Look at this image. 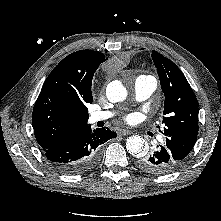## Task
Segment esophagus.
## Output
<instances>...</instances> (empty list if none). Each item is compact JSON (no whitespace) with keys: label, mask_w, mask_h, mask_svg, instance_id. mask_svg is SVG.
<instances>
[{"label":"esophagus","mask_w":221,"mask_h":221,"mask_svg":"<svg viewBox=\"0 0 221 221\" xmlns=\"http://www.w3.org/2000/svg\"><path fill=\"white\" fill-rule=\"evenodd\" d=\"M132 132L128 129H121L118 134L121 136H126V135H130Z\"/></svg>","instance_id":"1"}]
</instances>
